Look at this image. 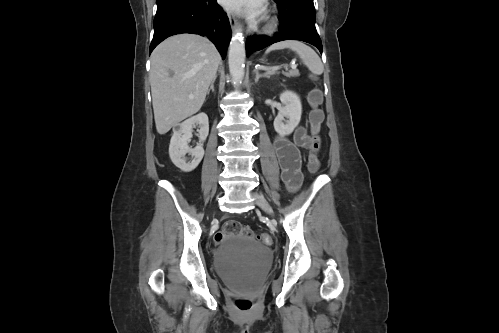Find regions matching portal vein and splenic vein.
<instances>
[{
  "mask_svg": "<svg viewBox=\"0 0 499 333\" xmlns=\"http://www.w3.org/2000/svg\"><path fill=\"white\" fill-rule=\"evenodd\" d=\"M291 67H292L293 69H295V68H296V65L292 64V65H291ZM279 68H280L279 66L274 67L273 69L268 70V71H267V74H272V73H275V71H277ZM190 98H193V97H192V96H190Z\"/></svg>",
  "mask_w": 499,
  "mask_h": 333,
  "instance_id": "obj_1",
  "label": "portal vein and splenic vein"
}]
</instances>
